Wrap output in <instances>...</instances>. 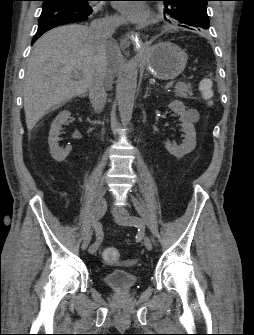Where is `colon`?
<instances>
[{
	"label": "colon",
	"instance_id": "1",
	"mask_svg": "<svg viewBox=\"0 0 254 335\" xmlns=\"http://www.w3.org/2000/svg\"><path fill=\"white\" fill-rule=\"evenodd\" d=\"M198 89L204 99L210 101L213 91V83L209 78H203L198 82ZM102 256L109 263H116L120 259V252L117 248L109 247L103 250Z\"/></svg>",
	"mask_w": 254,
	"mask_h": 335
}]
</instances>
